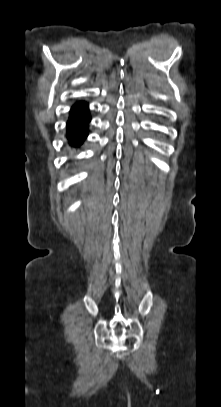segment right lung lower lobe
I'll list each match as a JSON object with an SVG mask.
<instances>
[{"instance_id":"right-lung-lower-lobe-1","label":"right lung lower lobe","mask_w":221,"mask_h":407,"mask_svg":"<svg viewBox=\"0 0 221 407\" xmlns=\"http://www.w3.org/2000/svg\"><path fill=\"white\" fill-rule=\"evenodd\" d=\"M90 120L91 117L86 103H76L71 108L66 134L71 146L77 147L83 143L88 135L87 131Z\"/></svg>"}]
</instances>
